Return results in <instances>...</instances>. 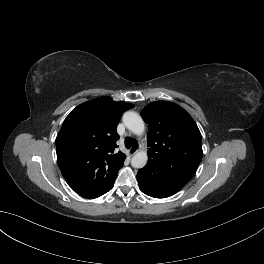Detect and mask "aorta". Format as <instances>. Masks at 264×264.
I'll return each mask as SVG.
<instances>
[{"label":"aorta","mask_w":264,"mask_h":264,"mask_svg":"<svg viewBox=\"0 0 264 264\" xmlns=\"http://www.w3.org/2000/svg\"><path fill=\"white\" fill-rule=\"evenodd\" d=\"M123 122L127 129L133 132L136 135H141L144 132V122L141 116L133 111H127L123 114ZM148 156L147 152L140 150L137 151L132 159L131 165L134 168H143L147 164Z\"/></svg>","instance_id":"1"}]
</instances>
